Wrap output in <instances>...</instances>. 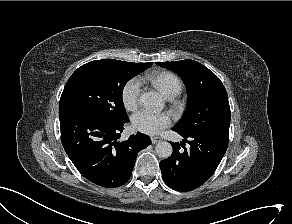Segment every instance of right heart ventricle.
<instances>
[{"label":"right heart ventricle","instance_id":"1","mask_svg":"<svg viewBox=\"0 0 292 224\" xmlns=\"http://www.w3.org/2000/svg\"><path fill=\"white\" fill-rule=\"evenodd\" d=\"M148 79L167 98H174L182 90L181 80L171 72L156 73L150 75Z\"/></svg>","mask_w":292,"mask_h":224}]
</instances>
